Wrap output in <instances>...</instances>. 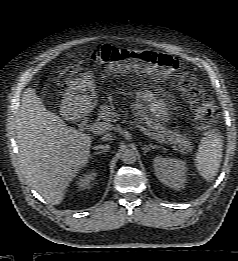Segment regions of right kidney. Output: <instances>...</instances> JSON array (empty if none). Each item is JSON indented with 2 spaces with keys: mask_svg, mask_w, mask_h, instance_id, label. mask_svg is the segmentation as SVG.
I'll use <instances>...</instances> for the list:
<instances>
[{
  "mask_svg": "<svg viewBox=\"0 0 238 261\" xmlns=\"http://www.w3.org/2000/svg\"><path fill=\"white\" fill-rule=\"evenodd\" d=\"M96 173L91 171L89 173L84 174L83 176L80 177L79 181H77V184L81 188H88L90 183L95 179Z\"/></svg>",
  "mask_w": 238,
  "mask_h": 261,
  "instance_id": "right-kidney-1",
  "label": "right kidney"
}]
</instances>
